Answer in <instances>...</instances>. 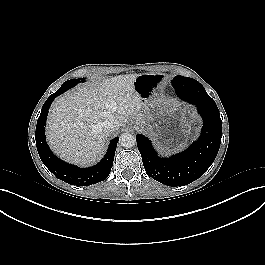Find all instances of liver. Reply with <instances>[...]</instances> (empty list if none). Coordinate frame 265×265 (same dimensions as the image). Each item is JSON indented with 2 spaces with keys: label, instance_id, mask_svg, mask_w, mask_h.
<instances>
[{
  "label": "liver",
  "instance_id": "6515ba94",
  "mask_svg": "<svg viewBox=\"0 0 265 265\" xmlns=\"http://www.w3.org/2000/svg\"><path fill=\"white\" fill-rule=\"evenodd\" d=\"M137 76H115L58 97L51 106L46 127L51 149L63 160L83 167L99 160L108 137L101 122L113 118L118 130L129 119H145V105L134 85Z\"/></svg>",
  "mask_w": 265,
  "mask_h": 265
}]
</instances>
